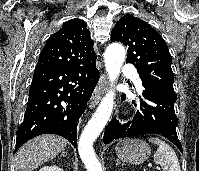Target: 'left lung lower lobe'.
Here are the masks:
<instances>
[{
    "instance_id": "0a47b994",
    "label": "left lung lower lobe",
    "mask_w": 199,
    "mask_h": 171,
    "mask_svg": "<svg viewBox=\"0 0 199 171\" xmlns=\"http://www.w3.org/2000/svg\"><path fill=\"white\" fill-rule=\"evenodd\" d=\"M143 87L140 112H137L133 122L126 124L119 123L116 118L111 120L105 129L104 143L124 137L155 134L164 136L182 152V145L176 132L178 120L174 111L177 97L155 87L147 85ZM125 97L123 94L122 100H125Z\"/></svg>"
}]
</instances>
